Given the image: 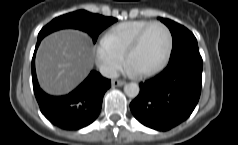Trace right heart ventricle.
Returning a JSON list of instances; mask_svg holds the SVG:
<instances>
[{"label":"right heart ventricle","mask_w":238,"mask_h":145,"mask_svg":"<svg viewBox=\"0 0 238 145\" xmlns=\"http://www.w3.org/2000/svg\"><path fill=\"white\" fill-rule=\"evenodd\" d=\"M149 23V20H132L117 24L107 30L102 39L124 55L136 35Z\"/></svg>","instance_id":"right-heart-ventricle-1"}]
</instances>
